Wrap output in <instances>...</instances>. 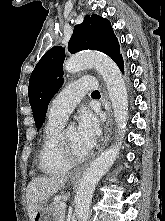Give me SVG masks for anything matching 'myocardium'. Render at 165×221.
<instances>
[{
    "label": "myocardium",
    "instance_id": "myocardium-1",
    "mask_svg": "<svg viewBox=\"0 0 165 221\" xmlns=\"http://www.w3.org/2000/svg\"><path fill=\"white\" fill-rule=\"evenodd\" d=\"M59 146H60V151H61L63 157L65 158V160L68 161L72 165L82 163L85 160H87L90 156L89 150L86 153H84L83 155H77L72 150V148L67 140L65 131H62L60 134Z\"/></svg>",
    "mask_w": 165,
    "mask_h": 221
}]
</instances>
